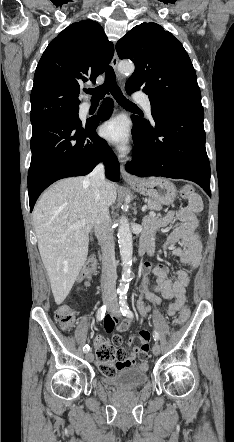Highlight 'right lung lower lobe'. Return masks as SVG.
<instances>
[{
	"mask_svg": "<svg viewBox=\"0 0 234 442\" xmlns=\"http://www.w3.org/2000/svg\"><path fill=\"white\" fill-rule=\"evenodd\" d=\"M113 101L104 100L98 117L83 123L67 111L53 109L30 115L33 134L32 158L28 172L30 211L39 195L53 182L90 173L101 161L106 177L118 182L120 165L107 142L96 134L99 120L112 112Z\"/></svg>",
	"mask_w": 234,
	"mask_h": 442,
	"instance_id": "1",
	"label": "right lung lower lobe"
}]
</instances>
